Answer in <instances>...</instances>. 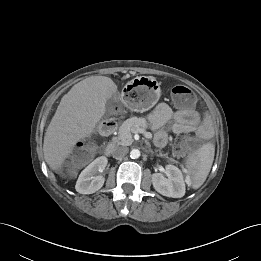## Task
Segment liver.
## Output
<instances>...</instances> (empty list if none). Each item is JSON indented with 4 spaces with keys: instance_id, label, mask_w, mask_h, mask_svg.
<instances>
[{
    "instance_id": "6515ba94",
    "label": "liver",
    "mask_w": 261,
    "mask_h": 261,
    "mask_svg": "<svg viewBox=\"0 0 261 261\" xmlns=\"http://www.w3.org/2000/svg\"><path fill=\"white\" fill-rule=\"evenodd\" d=\"M117 86L105 76H91L65 94L44 136V158L53 171L61 169L76 143L89 137L106 112Z\"/></svg>"
}]
</instances>
